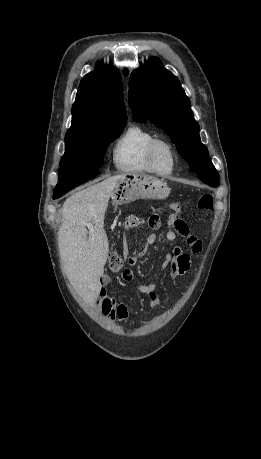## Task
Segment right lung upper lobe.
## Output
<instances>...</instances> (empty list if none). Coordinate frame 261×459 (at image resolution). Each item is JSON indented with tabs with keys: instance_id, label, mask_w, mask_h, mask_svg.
Returning <instances> with one entry per match:
<instances>
[{
	"instance_id": "1",
	"label": "right lung upper lobe",
	"mask_w": 261,
	"mask_h": 459,
	"mask_svg": "<svg viewBox=\"0 0 261 459\" xmlns=\"http://www.w3.org/2000/svg\"><path fill=\"white\" fill-rule=\"evenodd\" d=\"M72 124L65 139L87 129L126 123L123 85L117 69L104 65L81 81L72 106Z\"/></svg>"
}]
</instances>
